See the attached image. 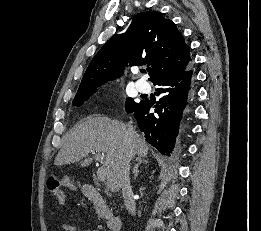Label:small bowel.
Returning a JSON list of instances; mask_svg holds the SVG:
<instances>
[{
    "mask_svg": "<svg viewBox=\"0 0 261 231\" xmlns=\"http://www.w3.org/2000/svg\"><path fill=\"white\" fill-rule=\"evenodd\" d=\"M62 229L64 231H76V227L72 224H63ZM85 231H89V230H85Z\"/></svg>",
    "mask_w": 261,
    "mask_h": 231,
    "instance_id": "c3829d8e",
    "label": "small bowel"
}]
</instances>
